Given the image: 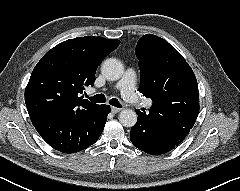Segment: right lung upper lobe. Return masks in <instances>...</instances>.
<instances>
[{"label":"right lung upper lobe","instance_id":"cb5924a9","mask_svg":"<svg viewBox=\"0 0 240 191\" xmlns=\"http://www.w3.org/2000/svg\"><path fill=\"white\" fill-rule=\"evenodd\" d=\"M119 43L85 36L64 41L48 51L35 66L25 90L32 123L52 114H78L95 107L97 104L80 94L93 85L97 67Z\"/></svg>","mask_w":240,"mask_h":191}]
</instances>
